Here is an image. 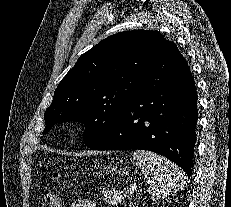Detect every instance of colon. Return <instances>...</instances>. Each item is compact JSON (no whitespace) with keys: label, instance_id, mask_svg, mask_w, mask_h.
Instances as JSON below:
<instances>
[{"label":"colon","instance_id":"5ec220e1","mask_svg":"<svg viewBox=\"0 0 231 207\" xmlns=\"http://www.w3.org/2000/svg\"><path fill=\"white\" fill-rule=\"evenodd\" d=\"M58 174L54 173L53 178L58 179ZM61 197L58 190H53L44 195L42 207H61Z\"/></svg>","mask_w":231,"mask_h":207}]
</instances>
